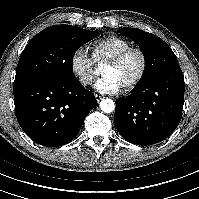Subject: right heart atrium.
Here are the masks:
<instances>
[{"instance_id":"d8ad5b80","label":"right heart atrium","mask_w":199,"mask_h":199,"mask_svg":"<svg viewBox=\"0 0 199 199\" xmlns=\"http://www.w3.org/2000/svg\"><path fill=\"white\" fill-rule=\"evenodd\" d=\"M72 73L84 86L90 85L96 74L94 58L83 47L77 48L70 60Z\"/></svg>"}]
</instances>
